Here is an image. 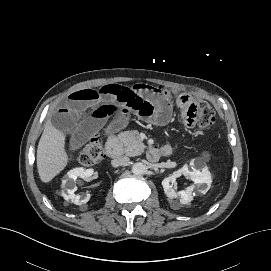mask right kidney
Wrapping results in <instances>:
<instances>
[{
	"label": "right kidney",
	"mask_w": 271,
	"mask_h": 271,
	"mask_svg": "<svg viewBox=\"0 0 271 271\" xmlns=\"http://www.w3.org/2000/svg\"><path fill=\"white\" fill-rule=\"evenodd\" d=\"M93 173V169H84L83 167L74 168L68 171L66 178L62 181L61 185V195L64 197V199L71 201L76 205L86 204L90 199V195L87 194L86 196H81L79 194H75L77 187L74 181L78 177H81L84 180H88L91 178Z\"/></svg>",
	"instance_id": "right-kidney-1"
}]
</instances>
